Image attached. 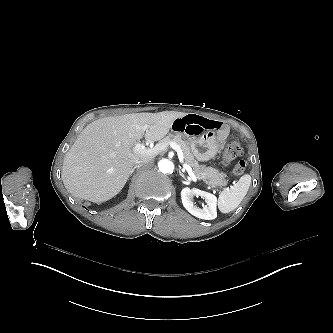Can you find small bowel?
<instances>
[{"mask_svg":"<svg viewBox=\"0 0 333 333\" xmlns=\"http://www.w3.org/2000/svg\"><path fill=\"white\" fill-rule=\"evenodd\" d=\"M173 129L176 132L184 131L191 135H197L205 129H210L211 133L215 135L221 134L220 136L223 138L225 126L219 120L214 121L200 115L187 114L173 122Z\"/></svg>","mask_w":333,"mask_h":333,"instance_id":"small-bowel-1","label":"small bowel"}]
</instances>
